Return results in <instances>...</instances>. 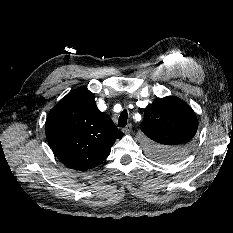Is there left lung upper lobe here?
I'll list each match as a JSON object with an SVG mask.
<instances>
[{"label": "left lung upper lobe", "mask_w": 233, "mask_h": 233, "mask_svg": "<svg viewBox=\"0 0 233 233\" xmlns=\"http://www.w3.org/2000/svg\"><path fill=\"white\" fill-rule=\"evenodd\" d=\"M198 120L191 107L181 99L165 97L145 108L141 124L150 155L162 162L181 159L192 147Z\"/></svg>", "instance_id": "left-lung-upper-lobe-1"}]
</instances>
